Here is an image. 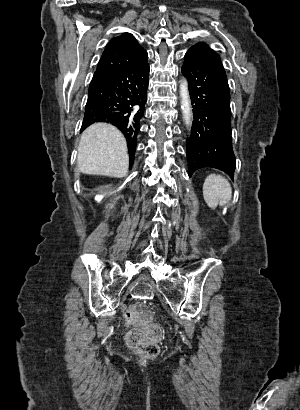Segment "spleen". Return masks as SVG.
<instances>
[{
	"label": "spleen",
	"instance_id": "obj_1",
	"mask_svg": "<svg viewBox=\"0 0 300 410\" xmlns=\"http://www.w3.org/2000/svg\"><path fill=\"white\" fill-rule=\"evenodd\" d=\"M203 196L207 205L215 209L218 205L223 206L231 200L232 188L224 177L211 174L203 184Z\"/></svg>",
	"mask_w": 300,
	"mask_h": 410
}]
</instances>
